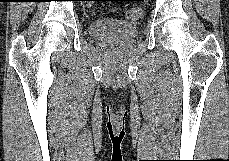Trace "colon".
<instances>
[{"label": "colon", "mask_w": 229, "mask_h": 161, "mask_svg": "<svg viewBox=\"0 0 229 161\" xmlns=\"http://www.w3.org/2000/svg\"><path fill=\"white\" fill-rule=\"evenodd\" d=\"M91 3L99 0H89ZM141 9L140 8H130L126 11V18L129 20H138L141 17Z\"/></svg>", "instance_id": "colon-1"}]
</instances>
